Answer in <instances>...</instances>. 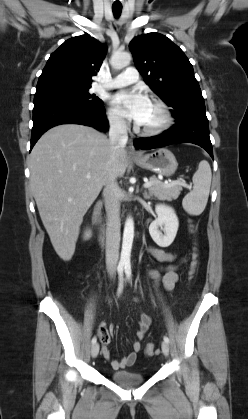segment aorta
Wrapping results in <instances>:
<instances>
[{"label": "aorta", "instance_id": "aorta-1", "mask_svg": "<svg viewBox=\"0 0 248 419\" xmlns=\"http://www.w3.org/2000/svg\"><path fill=\"white\" fill-rule=\"evenodd\" d=\"M131 55L127 52L115 53L112 55L110 63L113 69L119 70L130 64ZM134 238V221L131 217L127 218L124 226L122 250L120 262L130 264V255Z\"/></svg>", "mask_w": 248, "mask_h": 419}]
</instances>
